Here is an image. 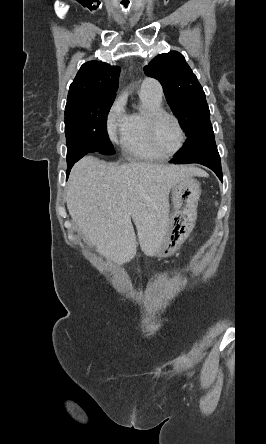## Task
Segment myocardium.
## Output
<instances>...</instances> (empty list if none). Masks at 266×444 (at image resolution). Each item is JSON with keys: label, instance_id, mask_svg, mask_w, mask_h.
<instances>
[{"label": "myocardium", "instance_id": "myocardium-1", "mask_svg": "<svg viewBox=\"0 0 266 444\" xmlns=\"http://www.w3.org/2000/svg\"><path fill=\"white\" fill-rule=\"evenodd\" d=\"M163 117L171 118L175 122V124L177 125V128L179 130V134H180V142H179L178 147L173 152H170V153L163 152L159 148V146L156 142V139H155L156 124ZM146 132H147V137H148L149 143H150L151 147L153 148V150L155 152H157L158 154L162 155L163 157H168V156H172V155L179 153L183 149L185 142H186V134H185L184 128H183L179 118L175 114L168 112L166 110H163V109L155 110V111H152L148 114L147 119H146Z\"/></svg>", "mask_w": 266, "mask_h": 444}]
</instances>
